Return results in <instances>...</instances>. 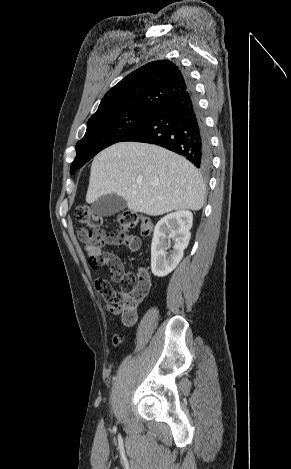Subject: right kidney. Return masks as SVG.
Returning a JSON list of instances; mask_svg holds the SVG:
<instances>
[{"label": "right kidney", "mask_w": 291, "mask_h": 469, "mask_svg": "<svg viewBox=\"0 0 291 469\" xmlns=\"http://www.w3.org/2000/svg\"><path fill=\"white\" fill-rule=\"evenodd\" d=\"M192 223L193 215L186 210L170 213L158 221L151 244V270L155 276L165 277L179 264L189 244ZM170 239L174 246L168 254Z\"/></svg>", "instance_id": "ca27d5eb"}]
</instances>
